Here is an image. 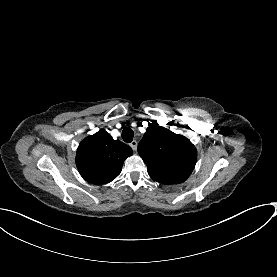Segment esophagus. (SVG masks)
Instances as JSON below:
<instances>
[{
	"instance_id": "34e87169",
	"label": "esophagus",
	"mask_w": 277,
	"mask_h": 277,
	"mask_svg": "<svg viewBox=\"0 0 277 277\" xmlns=\"http://www.w3.org/2000/svg\"><path fill=\"white\" fill-rule=\"evenodd\" d=\"M130 147H132V149L134 150V151H136L137 150V141L136 140H133L130 144Z\"/></svg>"
}]
</instances>
